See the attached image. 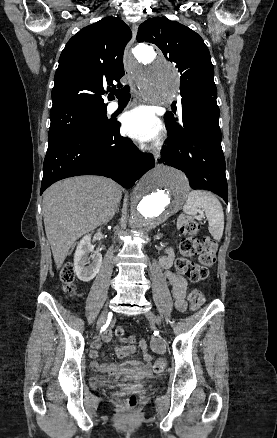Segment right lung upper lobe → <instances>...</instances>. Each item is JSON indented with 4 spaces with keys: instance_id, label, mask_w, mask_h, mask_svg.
Returning <instances> with one entry per match:
<instances>
[{
    "instance_id": "right-lung-upper-lobe-1",
    "label": "right lung upper lobe",
    "mask_w": 277,
    "mask_h": 438,
    "mask_svg": "<svg viewBox=\"0 0 277 438\" xmlns=\"http://www.w3.org/2000/svg\"><path fill=\"white\" fill-rule=\"evenodd\" d=\"M131 36L130 28L111 16L74 35L59 58L50 113L107 108L101 94L107 85L115 88V82L122 87L119 80L124 75L123 52Z\"/></svg>"
}]
</instances>
